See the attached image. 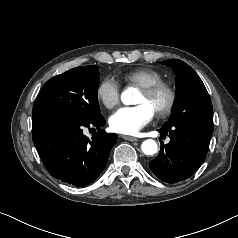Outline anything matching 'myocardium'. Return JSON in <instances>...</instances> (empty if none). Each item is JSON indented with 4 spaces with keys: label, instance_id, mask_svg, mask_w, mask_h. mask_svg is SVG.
Instances as JSON below:
<instances>
[{
    "label": "myocardium",
    "instance_id": "myocardium-1",
    "mask_svg": "<svg viewBox=\"0 0 238 238\" xmlns=\"http://www.w3.org/2000/svg\"><path fill=\"white\" fill-rule=\"evenodd\" d=\"M141 91L150 98H154L159 94L165 95V102L155 109V112L159 116H168L172 112L176 103V93L168 83L159 81L154 84L141 87Z\"/></svg>",
    "mask_w": 238,
    "mask_h": 238
}]
</instances>
